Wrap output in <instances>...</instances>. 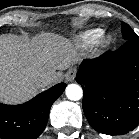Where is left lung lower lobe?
<instances>
[{"label": "left lung lower lobe", "mask_w": 139, "mask_h": 139, "mask_svg": "<svg viewBox=\"0 0 139 139\" xmlns=\"http://www.w3.org/2000/svg\"><path fill=\"white\" fill-rule=\"evenodd\" d=\"M76 81L82 84L83 110L96 131L122 135L139 124V39L84 60Z\"/></svg>", "instance_id": "left-lung-lower-lobe-1"}]
</instances>
